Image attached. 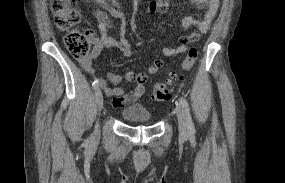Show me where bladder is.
<instances>
[{
    "label": "bladder",
    "instance_id": "obj_1",
    "mask_svg": "<svg viewBox=\"0 0 285 183\" xmlns=\"http://www.w3.org/2000/svg\"><path fill=\"white\" fill-rule=\"evenodd\" d=\"M121 115L125 121L138 123H150L153 118L151 112L141 104L127 106Z\"/></svg>",
    "mask_w": 285,
    "mask_h": 183
}]
</instances>
